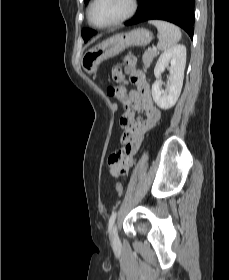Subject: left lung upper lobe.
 I'll return each mask as SVG.
<instances>
[{"label":"left lung upper lobe","mask_w":229,"mask_h":280,"mask_svg":"<svg viewBox=\"0 0 229 280\" xmlns=\"http://www.w3.org/2000/svg\"><path fill=\"white\" fill-rule=\"evenodd\" d=\"M88 1L89 0H84V2H88ZM95 33L96 32L94 30L85 28L82 30V37H83L84 41L86 42Z\"/></svg>","instance_id":"obj_1"}]
</instances>
